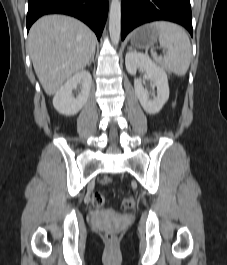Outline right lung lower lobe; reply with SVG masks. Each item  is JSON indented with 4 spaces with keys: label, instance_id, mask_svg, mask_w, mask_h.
Instances as JSON below:
<instances>
[{
    "label": "right lung lower lobe",
    "instance_id": "1",
    "mask_svg": "<svg viewBox=\"0 0 227 265\" xmlns=\"http://www.w3.org/2000/svg\"><path fill=\"white\" fill-rule=\"evenodd\" d=\"M108 12V0H28L27 31L42 15L61 13L86 23L100 39Z\"/></svg>",
    "mask_w": 227,
    "mask_h": 265
}]
</instances>
